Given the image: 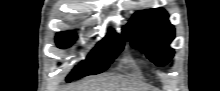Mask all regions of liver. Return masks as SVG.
<instances>
[{
  "label": "liver",
  "instance_id": "1",
  "mask_svg": "<svg viewBox=\"0 0 220 91\" xmlns=\"http://www.w3.org/2000/svg\"><path fill=\"white\" fill-rule=\"evenodd\" d=\"M71 91H149V89L122 77L106 76L87 80Z\"/></svg>",
  "mask_w": 220,
  "mask_h": 91
}]
</instances>
